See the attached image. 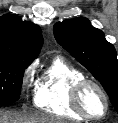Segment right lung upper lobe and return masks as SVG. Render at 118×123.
Masks as SVG:
<instances>
[{
    "mask_svg": "<svg viewBox=\"0 0 118 123\" xmlns=\"http://www.w3.org/2000/svg\"><path fill=\"white\" fill-rule=\"evenodd\" d=\"M43 45L41 29L23 22L16 15L0 18V58L12 59L30 65Z\"/></svg>",
    "mask_w": 118,
    "mask_h": 123,
    "instance_id": "cb5924a9",
    "label": "right lung upper lobe"
}]
</instances>
